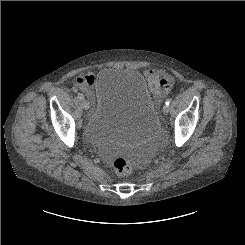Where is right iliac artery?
<instances>
[{"label": "right iliac artery", "instance_id": "right-iliac-artery-1", "mask_svg": "<svg viewBox=\"0 0 245 245\" xmlns=\"http://www.w3.org/2000/svg\"><path fill=\"white\" fill-rule=\"evenodd\" d=\"M78 98H79V100H83L84 96L82 94H78Z\"/></svg>", "mask_w": 245, "mask_h": 245}]
</instances>
